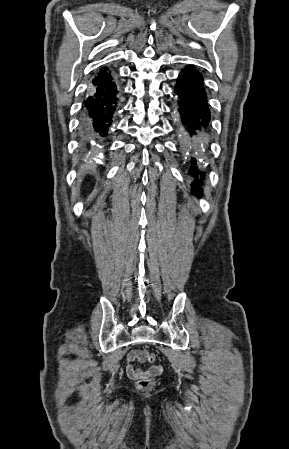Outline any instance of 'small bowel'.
I'll return each instance as SVG.
<instances>
[{
	"mask_svg": "<svg viewBox=\"0 0 289 449\" xmlns=\"http://www.w3.org/2000/svg\"><path fill=\"white\" fill-rule=\"evenodd\" d=\"M146 356L144 351L132 350L127 355V374L132 379H139L147 376H155L161 373L162 367L159 365H153L148 368H139L135 366V363H144Z\"/></svg>",
	"mask_w": 289,
	"mask_h": 449,
	"instance_id": "1",
	"label": "small bowel"
}]
</instances>
